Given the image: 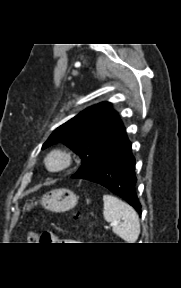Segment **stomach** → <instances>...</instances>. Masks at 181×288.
Masks as SVG:
<instances>
[{
	"label": "stomach",
	"instance_id": "obj_1",
	"mask_svg": "<svg viewBox=\"0 0 181 288\" xmlns=\"http://www.w3.org/2000/svg\"><path fill=\"white\" fill-rule=\"evenodd\" d=\"M78 196L69 189H54L42 196L41 205L52 212H65L77 205ZM37 202L25 203L24 210L30 211Z\"/></svg>",
	"mask_w": 181,
	"mask_h": 288
}]
</instances>
